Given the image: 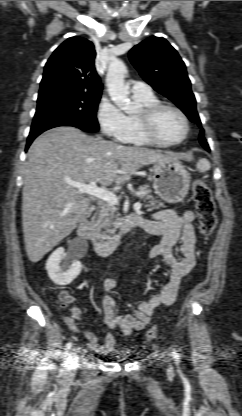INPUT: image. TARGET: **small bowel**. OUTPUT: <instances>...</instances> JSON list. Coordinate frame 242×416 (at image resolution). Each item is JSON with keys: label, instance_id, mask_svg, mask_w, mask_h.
Wrapping results in <instances>:
<instances>
[{"label": "small bowel", "instance_id": "obj_1", "mask_svg": "<svg viewBox=\"0 0 242 416\" xmlns=\"http://www.w3.org/2000/svg\"><path fill=\"white\" fill-rule=\"evenodd\" d=\"M196 215L189 210L182 215H177L172 210H162L153 215L151 219L142 220V227L151 234L162 235V241L155 245L150 251L152 259L161 260L169 271L168 281L162 291L148 300L136 304L132 313L119 315L114 299L109 295L116 287L112 278L103 281V290L106 295L103 297L104 322L109 329L119 328L124 335L132 331L144 329L151 321L156 309L160 306L172 305L178 295L179 286L185 277L196 264L195 234L193 221ZM181 241V257L174 252V247ZM65 293L69 300L71 296ZM82 317V309L73 306L71 315L64 318L66 326L78 336L88 341V348L94 353L108 355L116 346V340L112 333H107L104 342L101 343L99 334L90 330H81L77 321Z\"/></svg>", "mask_w": 242, "mask_h": 416}]
</instances>
